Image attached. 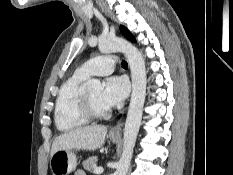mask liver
Here are the masks:
<instances>
[{"mask_svg":"<svg viewBox=\"0 0 233 175\" xmlns=\"http://www.w3.org/2000/svg\"><path fill=\"white\" fill-rule=\"evenodd\" d=\"M107 127L102 125L86 126L72 129L55 138L51 156L59 150L93 151L103 146Z\"/></svg>","mask_w":233,"mask_h":175,"instance_id":"1","label":"liver"}]
</instances>
